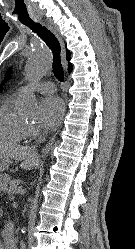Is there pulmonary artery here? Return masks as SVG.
<instances>
[{"label": "pulmonary artery", "mask_w": 135, "mask_h": 249, "mask_svg": "<svg viewBox=\"0 0 135 249\" xmlns=\"http://www.w3.org/2000/svg\"><path fill=\"white\" fill-rule=\"evenodd\" d=\"M55 90L56 86L53 82H42L32 85L21 86L16 90L15 94L21 96L28 91H36L43 94H51L55 92Z\"/></svg>", "instance_id": "e3ab8cb5"}]
</instances>
